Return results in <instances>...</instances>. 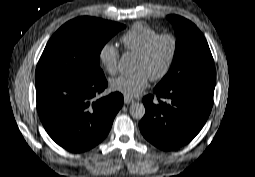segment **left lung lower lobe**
<instances>
[{
  "label": "left lung lower lobe",
  "mask_w": 255,
  "mask_h": 177,
  "mask_svg": "<svg viewBox=\"0 0 255 177\" xmlns=\"http://www.w3.org/2000/svg\"><path fill=\"white\" fill-rule=\"evenodd\" d=\"M215 75L196 76L170 88H154L159 98H143L145 116L139 123L143 136L162 150H173L190 142L202 129L213 104Z\"/></svg>",
  "instance_id": "obj_1"
}]
</instances>
